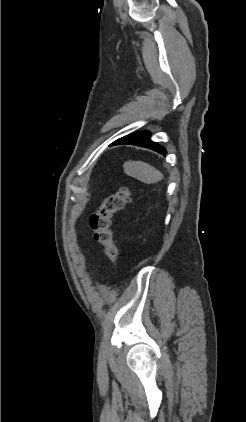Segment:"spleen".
I'll list each match as a JSON object with an SVG mask.
<instances>
[{
    "label": "spleen",
    "mask_w": 246,
    "mask_h": 422,
    "mask_svg": "<svg viewBox=\"0 0 246 422\" xmlns=\"http://www.w3.org/2000/svg\"><path fill=\"white\" fill-rule=\"evenodd\" d=\"M123 168L126 175L146 184L157 183L163 179L159 170L142 161H125Z\"/></svg>",
    "instance_id": "obj_1"
}]
</instances>
